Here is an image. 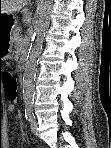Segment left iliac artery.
<instances>
[{"instance_id":"1","label":"left iliac artery","mask_w":111,"mask_h":148,"mask_svg":"<svg viewBox=\"0 0 111 148\" xmlns=\"http://www.w3.org/2000/svg\"><path fill=\"white\" fill-rule=\"evenodd\" d=\"M25 117L28 121H33V119H34V114L32 112V104L31 103H26V105H25Z\"/></svg>"}]
</instances>
